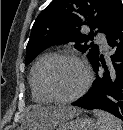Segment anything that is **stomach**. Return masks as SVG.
<instances>
[{
    "label": "stomach",
    "mask_w": 123,
    "mask_h": 130,
    "mask_svg": "<svg viewBox=\"0 0 123 130\" xmlns=\"http://www.w3.org/2000/svg\"><path fill=\"white\" fill-rule=\"evenodd\" d=\"M96 128V123L90 118H77L74 120L64 121L57 126L51 128L50 130H94ZM30 130V129H23Z\"/></svg>",
    "instance_id": "1"
}]
</instances>
